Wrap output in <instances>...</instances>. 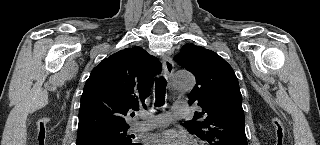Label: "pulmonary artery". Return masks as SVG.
Wrapping results in <instances>:
<instances>
[{
    "label": "pulmonary artery",
    "instance_id": "pulmonary-artery-1",
    "mask_svg": "<svg viewBox=\"0 0 320 145\" xmlns=\"http://www.w3.org/2000/svg\"><path fill=\"white\" fill-rule=\"evenodd\" d=\"M188 115V105L186 102L177 101L173 104L171 113L159 115L141 114L142 121L134 123L130 130L133 132H143L159 127L167 126L174 119H179Z\"/></svg>",
    "mask_w": 320,
    "mask_h": 145
}]
</instances>
